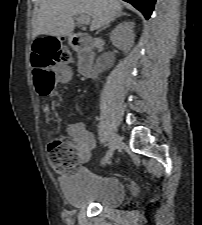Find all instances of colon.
<instances>
[{"label":"colon","mask_w":202,"mask_h":225,"mask_svg":"<svg viewBox=\"0 0 202 225\" xmlns=\"http://www.w3.org/2000/svg\"><path fill=\"white\" fill-rule=\"evenodd\" d=\"M34 66V84L41 97L53 96L56 73L52 68L62 67L69 62L70 54L57 46L53 39L35 42L32 46ZM63 74V72H60ZM77 148L73 142L65 139L54 140L48 148L47 159L56 172L69 175L79 167Z\"/></svg>","instance_id":"colon-1"}]
</instances>
